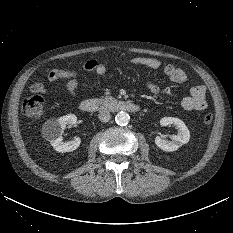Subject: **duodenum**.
<instances>
[{"label": "duodenum", "mask_w": 233, "mask_h": 233, "mask_svg": "<svg viewBox=\"0 0 233 233\" xmlns=\"http://www.w3.org/2000/svg\"><path fill=\"white\" fill-rule=\"evenodd\" d=\"M79 108L84 112L111 111V112H138L139 105L121 99H85L79 103Z\"/></svg>", "instance_id": "obj_1"}]
</instances>
